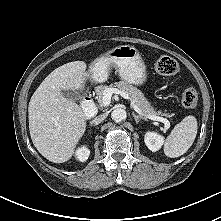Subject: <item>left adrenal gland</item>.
I'll use <instances>...</instances> for the list:
<instances>
[{
    "mask_svg": "<svg viewBox=\"0 0 221 221\" xmlns=\"http://www.w3.org/2000/svg\"><path fill=\"white\" fill-rule=\"evenodd\" d=\"M132 115H133V117H134V119H135V121H136L137 124L139 123V121H140L141 119L147 121V119H146L145 117H143V116H141V115H137V114H135L134 112H132Z\"/></svg>",
    "mask_w": 221,
    "mask_h": 221,
    "instance_id": "obj_1",
    "label": "left adrenal gland"
}]
</instances>
